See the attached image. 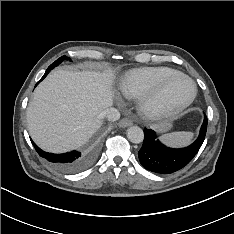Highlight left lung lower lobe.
<instances>
[{
  "mask_svg": "<svg viewBox=\"0 0 234 234\" xmlns=\"http://www.w3.org/2000/svg\"><path fill=\"white\" fill-rule=\"evenodd\" d=\"M207 131V117L200 129V134L190 146L180 149H172L163 145L155 132L144 129V142L138 152L140 163L149 171L161 174H169L186 166L199 151Z\"/></svg>",
  "mask_w": 234,
  "mask_h": 234,
  "instance_id": "0a47b994",
  "label": "left lung lower lobe"
}]
</instances>
